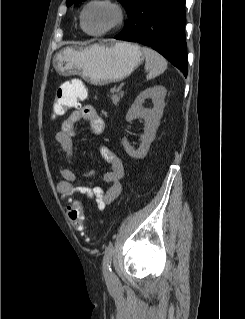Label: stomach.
Masks as SVG:
<instances>
[{"instance_id": "0dacf381", "label": "stomach", "mask_w": 245, "mask_h": 319, "mask_svg": "<svg viewBox=\"0 0 245 319\" xmlns=\"http://www.w3.org/2000/svg\"><path fill=\"white\" fill-rule=\"evenodd\" d=\"M143 59L137 44L108 42L66 47L54 56L53 66L60 75H80L92 84L104 85L125 79Z\"/></svg>"}]
</instances>
